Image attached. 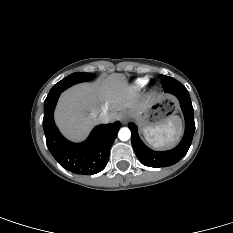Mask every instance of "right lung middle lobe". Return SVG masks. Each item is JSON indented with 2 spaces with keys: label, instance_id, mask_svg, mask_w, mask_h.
Masks as SVG:
<instances>
[{
  "label": "right lung middle lobe",
  "instance_id": "obj_1",
  "mask_svg": "<svg viewBox=\"0 0 233 233\" xmlns=\"http://www.w3.org/2000/svg\"><path fill=\"white\" fill-rule=\"evenodd\" d=\"M93 78H94L93 73H84V72L73 73L69 75L68 77L59 81L57 84H55L50 90L47 97H51L55 94L61 93L74 84L89 81Z\"/></svg>",
  "mask_w": 233,
  "mask_h": 233
}]
</instances>
